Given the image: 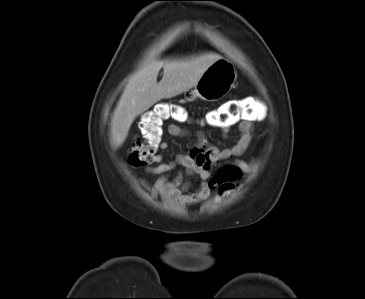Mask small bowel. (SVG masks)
<instances>
[{
    "label": "small bowel",
    "mask_w": 365,
    "mask_h": 299,
    "mask_svg": "<svg viewBox=\"0 0 365 299\" xmlns=\"http://www.w3.org/2000/svg\"><path fill=\"white\" fill-rule=\"evenodd\" d=\"M256 120L257 116H253L238 123L240 138L231 147L220 148L213 145L207 137L199 133L195 145L188 153L178 154L169 162H162L163 156L158 154L154 161L156 165L146 168L148 173L159 176L154 184V190L168 200L187 206L208 196L213 186L237 181L242 174L251 172L255 163L244 160H237L215 173L211 172V167L217 162L239 157L246 152L253 139V124ZM167 132L173 137L187 135L184 128L173 123L167 126ZM221 133L223 137H227L229 126L222 127ZM167 147V142L162 141L160 149L164 150ZM177 165L183 166L189 174L199 178L200 185L194 192H186L189 185L183 181L181 174L176 175L174 179L169 178V172Z\"/></svg>",
    "instance_id": "obj_1"
}]
</instances>
